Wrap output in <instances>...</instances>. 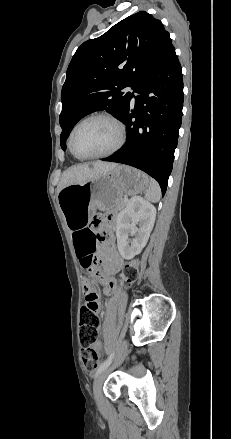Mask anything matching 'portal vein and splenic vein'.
Listing matches in <instances>:
<instances>
[{
    "label": "portal vein and splenic vein",
    "instance_id": "1",
    "mask_svg": "<svg viewBox=\"0 0 231 439\" xmlns=\"http://www.w3.org/2000/svg\"><path fill=\"white\" fill-rule=\"evenodd\" d=\"M125 200H128V198H127V197H125Z\"/></svg>",
    "mask_w": 231,
    "mask_h": 439
}]
</instances>
